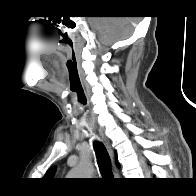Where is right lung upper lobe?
<instances>
[{"mask_svg":"<svg viewBox=\"0 0 196 196\" xmlns=\"http://www.w3.org/2000/svg\"><path fill=\"white\" fill-rule=\"evenodd\" d=\"M54 172H55V167L50 168V169L46 172L44 178L51 179L52 176L54 175Z\"/></svg>","mask_w":196,"mask_h":196,"instance_id":"right-lung-upper-lobe-1","label":"right lung upper lobe"}]
</instances>
